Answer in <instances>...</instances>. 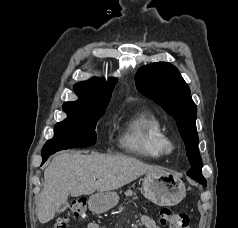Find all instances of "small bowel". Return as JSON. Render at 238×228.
Returning a JSON list of instances; mask_svg holds the SVG:
<instances>
[{
  "mask_svg": "<svg viewBox=\"0 0 238 228\" xmlns=\"http://www.w3.org/2000/svg\"><path fill=\"white\" fill-rule=\"evenodd\" d=\"M141 223L145 228H159L154 219L148 215L140 216ZM87 228H103L96 222H90Z\"/></svg>",
  "mask_w": 238,
  "mask_h": 228,
  "instance_id": "c3829d8e",
  "label": "small bowel"
}]
</instances>
